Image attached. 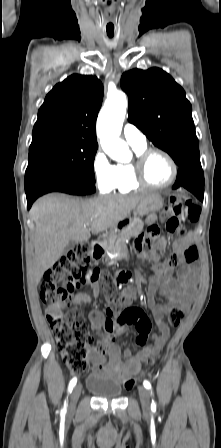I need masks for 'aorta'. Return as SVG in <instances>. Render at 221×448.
<instances>
[{"label":"aorta","instance_id":"obj_1","mask_svg":"<svg viewBox=\"0 0 221 448\" xmlns=\"http://www.w3.org/2000/svg\"><path fill=\"white\" fill-rule=\"evenodd\" d=\"M127 105L125 94L116 93L107 99L97 122V132L103 150L112 159L122 163L131 159L128 144L119 138Z\"/></svg>","mask_w":221,"mask_h":448}]
</instances>
